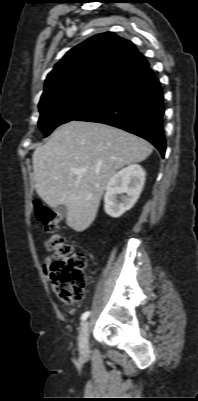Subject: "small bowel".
Masks as SVG:
<instances>
[{
  "mask_svg": "<svg viewBox=\"0 0 198 401\" xmlns=\"http://www.w3.org/2000/svg\"><path fill=\"white\" fill-rule=\"evenodd\" d=\"M51 264H52V259L51 258H46L44 260L43 266H42L44 273H46V274L49 273L50 268H51Z\"/></svg>",
  "mask_w": 198,
  "mask_h": 401,
  "instance_id": "1",
  "label": "small bowel"
}]
</instances>
